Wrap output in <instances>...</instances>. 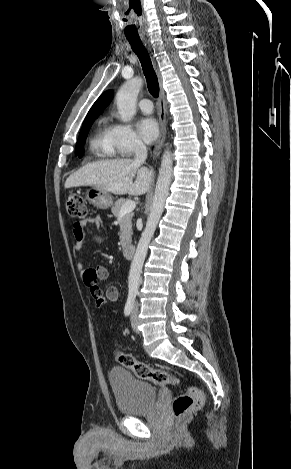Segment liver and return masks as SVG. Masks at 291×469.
<instances>
[{
	"label": "liver",
	"mask_w": 291,
	"mask_h": 469,
	"mask_svg": "<svg viewBox=\"0 0 291 469\" xmlns=\"http://www.w3.org/2000/svg\"><path fill=\"white\" fill-rule=\"evenodd\" d=\"M152 178L153 171L135 160H106L80 168L66 179L65 188L93 186L118 195H143L148 192Z\"/></svg>",
	"instance_id": "obj_1"
}]
</instances>
